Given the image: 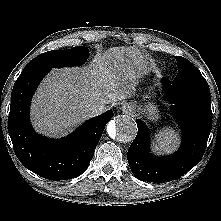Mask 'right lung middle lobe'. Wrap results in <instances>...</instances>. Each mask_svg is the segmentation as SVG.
<instances>
[{
  "label": "right lung middle lobe",
  "instance_id": "dd1d6c3e",
  "mask_svg": "<svg viewBox=\"0 0 221 221\" xmlns=\"http://www.w3.org/2000/svg\"><path fill=\"white\" fill-rule=\"evenodd\" d=\"M89 57V50L83 46H77L68 50H53L40 54L30 61L24 69L31 67L60 68L83 64Z\"/></svg>",
  "mask_w": 221,
  "mask_h": 221
}]
</instances>
